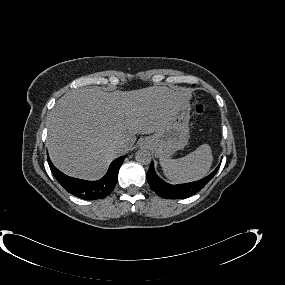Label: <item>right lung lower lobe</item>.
<instances>
[{
	"label": "right lung lower lobe",
	"instance_id": "right-lung-lower-lobe-1",
	"mask_svg": "<svg viewBox=\"0 0 285 285\" xmlns=\"http://www.w3.org/2000/svg\"><path fill=\"white\" fill-rule=\"evenodd\" d=\"M125 157L121 156L114 160L106 175L98 181H86L69 177L56 169L49 157L48 163L55 178L70 194L85 200H96L102 199L112 192L118 180L119 168Z\"/></svg>",
	"mask_w": 285,
	"mask_h": 285
}]
</instances>
